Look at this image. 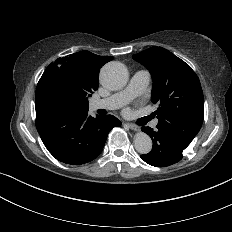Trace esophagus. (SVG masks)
Wrapping results in <instances>:
<instances>
[{"label": "esophagus", "instance_id": "1", "mask_svg": "<svg viewBox=\"0 0 232 232\" xmlns=\"http://www.w3.org/2000/svg\"><path fill=\"white\" fill-rule=\"evenodd\" d=\"M125 126H127L129 129L134 130V131H139L140 127L132 124V123H126Z\"/></svg>", "mask_w": 232, "mask_h": 232}]
</instances>
